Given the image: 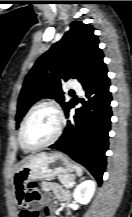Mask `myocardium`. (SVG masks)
<instances>
[{"mask_svg":"<svg viewBox=\"0 0 132 217\" xmlns=\"http://www.w3.org/2000/svg\"><path fill=\"white\" fill-rule=\"evenodd\" d=\"M42 107H50L57 114V117H58L57 130H56L54 136L49 141H47L43 144L37 145V146H31V145H28L25 141V137H24L25 129H26L27 123L29 122V120L33 116V114L38 109H40ZM64 124H65V119H64L63 112L56 102L51 101V100L40 102V103L36 104L34 107H32L31 110L29 111V113L27 114V116L25 117V119L22 123L21 129H20V133H19V142H20L21 146L28 151H36V150L46 148V147L54 144L60 138V136L62 135V132H63Z\"/></svg>","mask_w":132,"mask_h":217,"instance_id":"1","label":"myocardium"}]
</instances>
